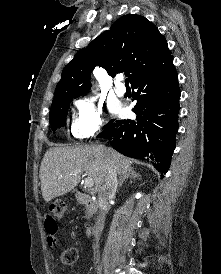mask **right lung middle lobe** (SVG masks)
<instances>
[{
    "instance_id": "dd1d6c3e",
    "label": "right lung middle lobe",
    "mask_w": 221,
    "mask_h": 274,
    "mask_svg": "<svg viewBox=\"0 0 221 274\" xmlns=\"http://www.w3.org/2000/svg\"><path fill=\"white\" fill-rule=\"evenodd\" d=\"M73 96H65L53 99L52 107L49 114V122L53 131L57 128L64 126L65 117L69 109V104L72 101Z\"/></svg>"
}]
</instances>
